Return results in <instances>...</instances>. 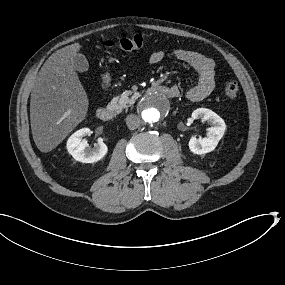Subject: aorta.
<instances>
[{
  "mask_svg": "<svg viewBox=\"0 0 285 285\" xmlns=\"http://www.w3.org/2000/svg\"><path fill=\"white\" fill-rule=\"evenodd\" d=\"M140 112L145 120L151 123H160L169 116L171 103L164 94L151 92L142 99Z\"/></svg>",
  "mask_w": 285,
  "mask_h": 285,
  "instance_id": "aorta-1",
  "label": "aorta"
}]
</instances>
